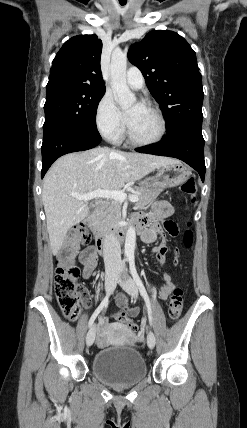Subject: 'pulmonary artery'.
<instances>
[{
    "instance_id": "e3ab8cb5",
    "label": "pulmonary artery",
    "mask_w": 247,
    "mask_h": 428,
    "mask_svg": "<svg viewBox=\"0 0 247 428\" xmlns=\"http://www.w3.org/2000/svg\"><path fill=\"white\" fill-rule=\"evenodd\" d=\"M126 82L130 88L135 90L142 89L145 84L142 73L136 67H132L128 69L126 74Z\"/></svg>"
}]
</instances>
